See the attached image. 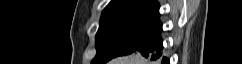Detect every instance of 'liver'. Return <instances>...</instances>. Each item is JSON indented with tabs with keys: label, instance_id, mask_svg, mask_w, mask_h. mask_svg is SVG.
Returning <instances> with one entry per match:
<instances>
[{
	"label": "liver",
	"instance_id": "obj_1",
	"mask_svg": "<svg viewBox=\"0 0 242 64\" xmlns=\"http://www.w3.org/2000/svg\"><path fill=\"white\" fill-rule=\"evenodd\" d=\"M109 64H147V61L139 54H132L115 58Z\"/></svg>",
	"mask_w": 242,
	"mask_h": 64
}]
</instances>
